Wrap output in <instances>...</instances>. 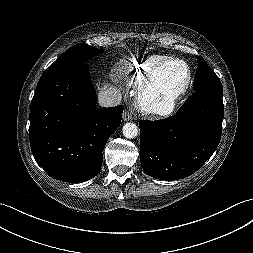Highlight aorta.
<instances>
[{
	"label": "aorta",
	"instance_id": "762f6f07",
	"mask_svg": "<svg viewBox=\"0 0 253 253\" xmlns=\"http://www.w3.org/2000/svg\"><path fill=\"white\" fill-rule=\"evenodd\" d=\"M123 135L126 137V138H135L137 135H138V127L136 124L134 123H126L124 126H123Z\"/></svg>",
	"mask_w": 253,
	"mask_h": 253
}]
</instances>
